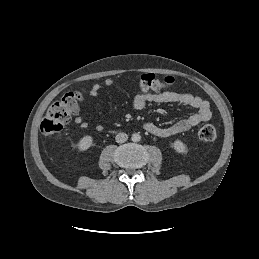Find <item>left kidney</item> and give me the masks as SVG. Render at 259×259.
<instances>
[{
    "label": "left kidney",
    "instance_id": "5707ae66",
    "mask_svg": "<svg viewBox=\"0 0 259 259\" xmlns=\"http://www.w3.org/2000/svg\"><path fill=\"white\" fill-rule=\"evenodd\" d=\"M173 148L178 153H181V154L187 153V149H186L185 144L179 139L174 141Z\"/></svg>",
    "mask_w": 259,
    "mask_h": 259
}]
</instances>
